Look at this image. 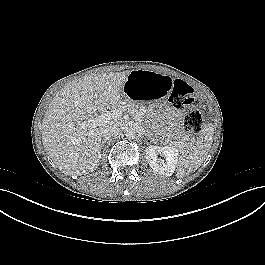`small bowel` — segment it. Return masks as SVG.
I'll list each match as a JSON object with an SVG mask.
<instances>
[{"instance_id": "obj_1", "label": "small bowel", "mask_w": 265, "mask_h": 265, "mask_svg": "<svg viewBox=\"0 0 265 265\" xmlns=\"http://www.w3.org/2000/svg\"><path fill=\"white\" fill-rule=\"evenodd\" d=\"M177 114L179 115V114H180V112L178 111V112H177Z\"/></svg>"}]
</instances>
